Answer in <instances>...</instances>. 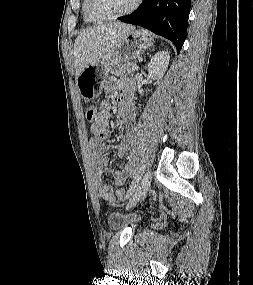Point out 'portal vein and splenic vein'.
Here are the masks:
<instances>
[{
  "label": "portal vein and splenic vein",
  "mask_w": 253,
  "mask_h": 285,
  "mask_svg": "<svg viewBox=\"0 0 253 285\" xmlns=\"http://www.w3.org/2000/svg\"><path fill=\"white\" fill-rule=\"evenodd\" d=\"M139 69V66L138 65H134L133 67H132V70L134 71V70H138Z\"/></svg>",
  "instance_id": "1"
}]
</instances>
